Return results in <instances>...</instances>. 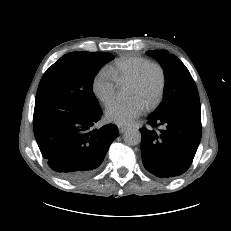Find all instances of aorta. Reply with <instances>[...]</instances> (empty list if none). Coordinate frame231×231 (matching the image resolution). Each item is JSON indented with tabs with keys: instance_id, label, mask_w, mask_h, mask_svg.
Here are the masks:
<instances>
[{
	"instance_id": "1",
	"label": "aorta",
	"mask_w": 231,
	"mask_h": 231,
	"mask_svg": "<svg viewBox=\"0 0 231 231\" xmlns=\"http://www.w3.org/2000/svg\"><path fill=\"white\" fill-rule=\"evenodd\" d=\"M141 138V133L136 128H128L123 134V140L129 146L138 145L141 142Z\"/></svg>"
}]
</instances>
